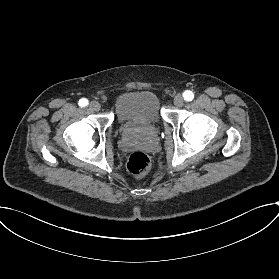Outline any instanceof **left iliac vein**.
I'll list each match as a JSON object with an SVG mask.
<instances>
[{
    "mask_svg": "<svg viewBox=\"0 0 279 279\" xmlns=\"http://www.w3.org/2000/svg\"><path fill=\"white\" fill-rule=\"evenodd\" d=\"M173 102L176 107H182L184 105V99L181 94L176 95Z\"/></svg>",
    "mask_w": 279,
    "mask_h": 279,
    "instance_id": "left-iliac-vein-1",
    "label": "left iliac vein"
}]
</instances>
